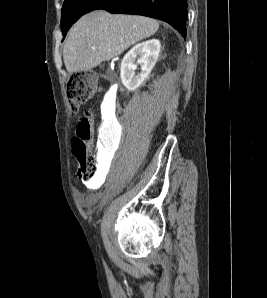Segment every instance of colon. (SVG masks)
I'll return each instance as SVG.
<instances>
[{"mask_svg": "<svg viewBox=\"0 0 267 298\" xmlns=\"http://www.w3.org/2000/svg\"><path fill=\"white\" fill-rule=\"evenodd\" d=\"M97 86V77L91 72H78L70 77L67 83V98L73 113L92 97ZM93 124V115L88 113L78 122L76 135L71 140L72 153L78 163L79 177L86 182L95 180L98 170L99 158L90 154L88 149Z\"/></svg>", "mask_w": 267, "mask_h": 298, "instance_id": "5ec220e1", "label": "colon"}]
</instances>
